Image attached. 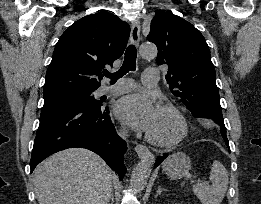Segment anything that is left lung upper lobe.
<instances>
[{
  "label": "left lung upper lobe",
  "instance_id": "obj_1",
  "mask_svg": "<svg viewBox=\"0 0 261 204\" xmlns=\"http://www.w3.org/2000/svg\"><path fill=\"white\" fill-rule=\"evenodd\" d=\"M147 39L158 48L156 62L168 65L167 83L196 118L206 119L226 134L216 73L205 38L191 23L157 11Z\"/></svg>",
  "mask_w": 261,
  "mask_h": 204
}]
</instances>
